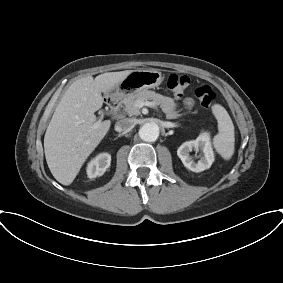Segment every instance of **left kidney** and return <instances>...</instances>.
Wrapping results in <instances>:
<instances>
[{
  "label": "left kidney",
  "instance_id": "1",
  "mask_svg": "<svg viewBox=\"0 0 283 283\" xmlns=\"http://www.w3.org/2000/svg\"><path fill=\"white\" fill-rule=\"evenodd\" d=\"M195 150L202 151L203 155L198 162H195L190 155V152ZM177 155L181 159L186 168L193 172H202L209 169L214 162V152L210 142L209 133H202L196 140H191L183 143L177 150Z\"/></svg>",
  "mask_w": 283,
  "mask_h": 283
}]
</instances>
